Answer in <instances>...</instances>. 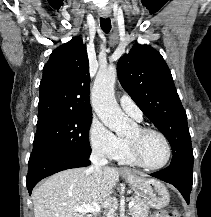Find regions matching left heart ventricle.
I'll use <instances>...</instances> for the list:
<instances>
[{
  "instance_id": "left-heart-ventricle-1",
  "label": "left heart ventricle",
  "mask_w": 211,
  "mask_h": 217,
  "mask_svg": "<svg viewBox=\"0 0 211 217\" xmlns=\"http://www.w3.org/2000/svg\"><path fill=\"white\" fill-rule=\"evenodd\" d=\"M129 139L138 140L142 159L151 166L162 164L167 156V148L163 139L155 134L148 133L139 137L138 129H135L129 136Z\"/></svg>"
}]
</instances>
